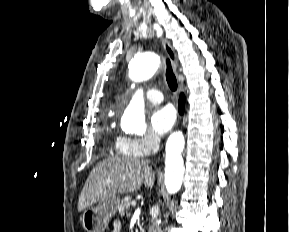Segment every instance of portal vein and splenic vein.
<instances>
[{
  "label": "portal vein and splenic vein",
  "instance_id": "18ae733b",
  "mask_svg": "<svg viewBox=\"0 0 289 232\" xmlns=\"http://www.w3.org/2000/svg\"><path fill=\"white\" fill-rule=\"evenodd\" d=\"M108 182H110V180H108ZM132 206H136V202L132 201Z\"/></svg>",
  "mask_w": 289,
  "mask_h": 232
}]
</instances>
